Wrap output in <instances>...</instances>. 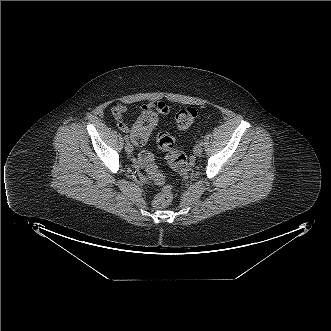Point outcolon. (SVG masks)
I'll return each instance as SVG.
<instances>
[{
    "label": "colon",
    "instance_id": "colon-1",
    "mask_svg": "<svg viewBox=\"0 0 331 331\" xmlns=\"http://www.w3.org/2000/svg\"><path fill=\"white\" fill-rule=\"evenodd\" d=\"M198 116V110L193 107H184L180 109L175 117L176 126L180 130L189 128ZM158 121V114L155 110L144 109L141 111L137 121L135 122V133L132 141L136 145H142L147 142L151 130L155 127ZM157 145L160 150L167 153L168 162L175 171H184L188 167L186 155L175 147L173 136L167 132L159 133L157 137ZM141 163L144 166L147 175L152 180L161 186L160 192L156 195L153 205L156 208H163L170 204L172 200L171 189L164 184V179L157 166L155 165L151 155H143Z\"/></svg>",
    "mask_w": 331,
    "mask_h": 331
}]
</instances>
